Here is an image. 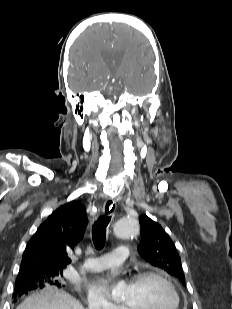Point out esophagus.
Here are the masks:
<instances>
[{"mask_svg":"<svg viewBox=\"0 0 232 309\" xmlns=\"http://www.w3.org/2000/svg\"><path fill=\"white\" fill-rule=\"evenodd\" d=\"M116 209L115 201L113 199H107L103 206V213L105 215L112 214Z\"/></svg>","mask_w":232,"mask_h":309,"instance_id":"1","label":"esophagus"}]
</instances>
